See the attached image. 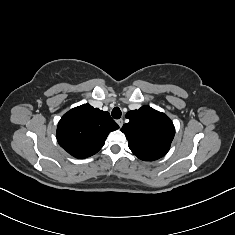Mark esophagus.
Here are the masks:
<instances>
[{"instance_id":"34e87169","label":"esophagus","mask_w":235,"mask_h":235,"mask_svg":"<svg viewBox=\"0 0 235 235\" xmlns=\"http://www.w3.org/2000/svg\"><path fill=\"white\" fill-rule=\"evenodd\" d=\"M117 123H118L119 127L121 128L123 126V119L117 120Z\"/></svg>"}]
</instances>
